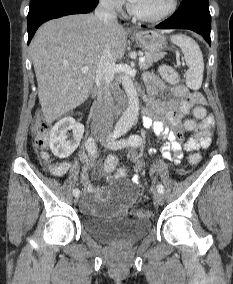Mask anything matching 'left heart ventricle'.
<instances>
[{"label":"left heart ventricle","mask_w":233,"mask_h":284,"mask_svg":"<svg viewBox=\"0 0 233 284\" xmlns=\"http://www.w3.org/2000/svg\"><path fill=\"white\" fill-rule=\"evenodd\" d=\"M132 4L140 13L155 16L169 7L170 0H134Z\"/></svg>","instance_id":"obj_1"}]
</instances>
